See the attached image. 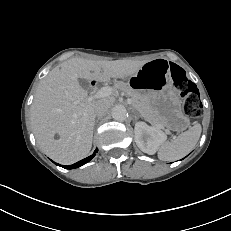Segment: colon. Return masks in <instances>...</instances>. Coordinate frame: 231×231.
<instances>
[{
	"mask_svg": "<svg viewBox=\"0 0 231 231\" xmlns=\"http://www.w3.org/2000/svg\"><path fill=\"white\" fill-rule=\"evenodd\" d=\"M174 83L181 95L185 97L183 109L186 115L199 117L203 107L195 84L190 81L184 70L178 66H172Z\"/></svg>",
	"mask_w": 231,
	"mask_h": 231,
	"instance_id": "5ec220e1",
	"label": "colon"
}]
</instances>
